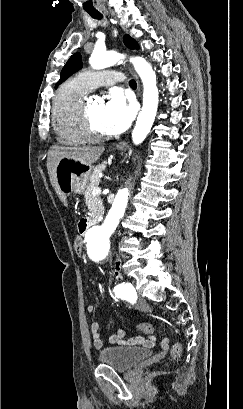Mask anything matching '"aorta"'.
<instances>
[{"label": "aorta", "instance_id": "aorta-1", "mask_svg": "<svg viewBox=\"0 0 243 409\" xmlns=\"http://www.w3.org/2000/svg\"><path fill=\"white\" fill-rule=\"evenodd\" d=\"M123 56L113 51L95 50L89 61L95 70L104 69L115 65ZM135 71L141 78L143 84V105L138 115L136 125L132 132V140L135 145H139L149 134L154 123L159 94L156 85V75L150 63L144 58H131ZM129 191L127 188L120 189L114 202L104 220L99 225L89 228L85 234L86 247L88 250L96 248L100 253L107 254L109 250V238L116 230L120 219L124 216L127 207Z\"/></svg>", "mask_w": 243, "mask_h": 409}]
</instances>
